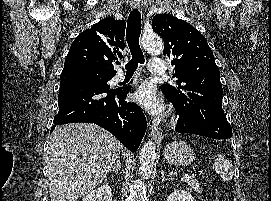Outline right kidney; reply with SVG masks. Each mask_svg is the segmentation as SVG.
Returning a JSON list of instances; mask_svg holds the SVG:
<instances>
[{"label":"right kidney","mask_w":271,"mask_h":201,"mask_svg":"<svg viewBox=\"0 0 271 201\" xmlns=\"http://www.w3.org/2000/svg\"><path fill=\"white\" fill-rule=\"evenodd\" d=\"M82 201H112L111 188L108 184H104L88 193Z\"/></svg>","instance_id":"ca27d5eb"}]
</instances>
